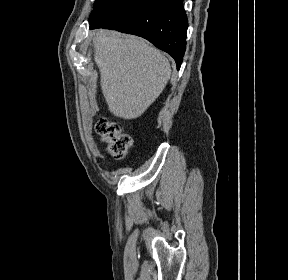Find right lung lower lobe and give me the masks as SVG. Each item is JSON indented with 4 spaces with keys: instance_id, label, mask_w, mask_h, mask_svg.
Listing matches in <instances>:
<instances>
[{
    "instance_id": "1",
    "label": "right lung lower lobe",
    "mask_w": 288,
    "mask_h": 280,
    "mask_svg": "<svg viewBox=\"0 0 288 280\" xmlns=\"http://www.w3.org/2000/svg\"><path fill=\"white\" fill-rule=\"evenodd\" d=\"M89 24L90 29L102 27L143 37L169 53L177 69L182 64L188 28L182 0H118Z\"/></svg>"
}]
</instances>
